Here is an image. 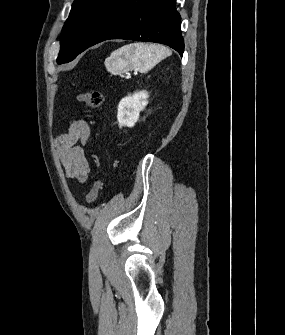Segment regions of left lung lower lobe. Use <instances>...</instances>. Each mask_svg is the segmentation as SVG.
<instances>
[{
    "mask_svg": "<svg viewBox=\"0 0 285 335\" xmlns=\"http://www.w3.org/2000/svg\"><path fill=\"white\" fill-rule=\"evenodd\" d=\"M176 0H111L98 14L80 46V53L109 39L162 43L181 56L184 40Z\"/></svg>",
    "mask_w": 285,
    "mask_h": 335,
    "instance_id": "0a47b994",
    "label": "left lung lower lobe"
}]
</instances>
